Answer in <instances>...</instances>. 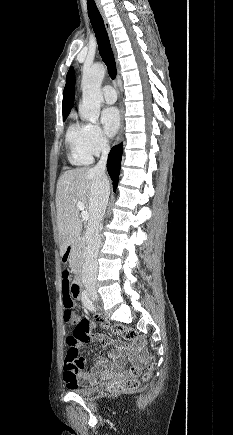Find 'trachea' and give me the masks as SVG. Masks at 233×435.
I'll return each instance as SVG.
<instances>
[{
    "label": "trachea",
    "mask_w": 233,
    "mask_h": 435,
    "mask_svg": "<svg viewBox=\"0 0 233 435\" xmlns=\"http://www.w3.org/2000/svg\"><path fill=\"white\" fill-rule=\"evenodd\" d=\"M87 10L92 28L97 39L100 56L102 57L103 62L107 66L109 76L113 80L116 77L117 70L103 18L94 0H87Z\"/></svg>",
    "instance_id": "obj_1"
}]
</instances>
